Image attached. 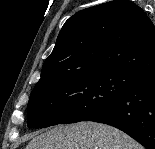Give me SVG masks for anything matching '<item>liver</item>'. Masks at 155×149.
Returning <instances> with one entry per match:
<instances>
[{
	"label": "liver",
	"instance_id": "liver-1",
	"mask_svg": "<svg viewBox=\"0 0 155 149\" xmlns=\"http://www.w3.org/2000/svg\"><path fill=\"white\" fill-rule=\"evenodd\" d=\"M26 149H144L124 132L101 123L59 125L35 136Z\"/></svg>",
	"mask_w": 155,
	"mask_h": 149
}]
</instances>
